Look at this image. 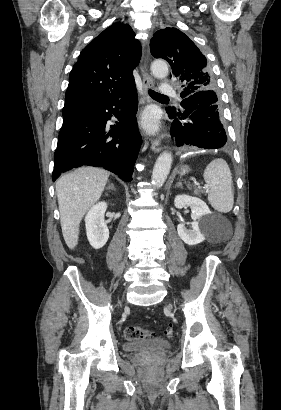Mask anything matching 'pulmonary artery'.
<instances>
[{
    "mask_svg": "<svg viewBox=\"0 0 281 410\" xmlns=\"http://www.w3.org/2000/svg\"><path fill=\"white\" fill-rule=\"evenodd\" d=\"M160 91L163 94H174L175 93V87L170 84H165L160 88Z\"/></svg>",
    "mask_w": 281,
    "mask_h": 410,
    "instance_id": "obj_1",
    "label": "pulmonary artery"
}]
</instances>
